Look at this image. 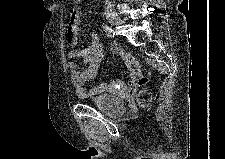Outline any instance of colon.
<instances>
[{
	"label": "colon",
	"instance_id": "1",
	"mask_svg": "<svg viewBox=\"0 0 225 159\" xmlns=\"http://www.w3.org/2000/svg\"><path fill=\"white\" fill-rule=\"evenodd\" d=\"M76 1V0H72ZM121 58L124 60L128 70L130 71L132 77L138 81L145 80L144 73L140 62L132 56L129 52L121 49L118 53ZM150 93L147 90H142L139 92L137 99L141 106L148 105L150 101Z\"/></svg>",
	"mask_w": 225,
	"mask_h": 159
}]
</instances>
